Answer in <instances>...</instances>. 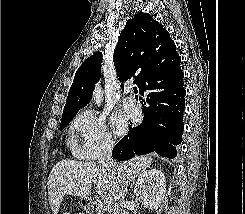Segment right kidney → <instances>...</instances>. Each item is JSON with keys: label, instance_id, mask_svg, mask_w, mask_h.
I'll return each mask as SVG.
<instances>
[{"label": "right kidney", "instance_id": "1", "mask_svg": "<svg viewBox=\"0 0 245 214\" xmlns=\"http://www.w3.org/2000/svg\"><path fill=\"white\" fill-rule=\"evenodd\" d=\"M134 193L142 200L145 208L158 209L166 193V179L161 170L143 172L136 181Z\"/></svg>", "mask_w": 245, "mask_h": 214}]
</instances>
